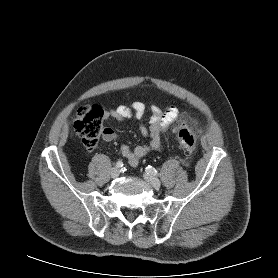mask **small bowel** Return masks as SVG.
Masks as SVG:
<instances>
[{
	"label": "small bowel",
	"mask_w": 278,
	"mask_h": 278,
	"mask_svg": "<svg viewBox=\"0 0 278 278\" xmlns=\"http://www.w3.org/2000/svg\"><path fill=\"white\" fill-rule=\"evenodd\" d=\"M146 106L142 102H134L132 105H119L114 109L106 112L107 118L111 117L118 121L134 119L138 122L139 131L143 137L148 138L146 144L138 145L131 149L129 145L124 144L121 147V154L131 166H137L140 159L146 156L150 151L160 149L163 145V135L179 116V110L176 106H171L167 110H162L157 106L149 109V125H144L141 120L146 113ZM115 132L112 128L107 127L103 132L105 141L115 139Z\"/></svg>",
	"instance_id": "c3829d8e"
}]
</instances>
